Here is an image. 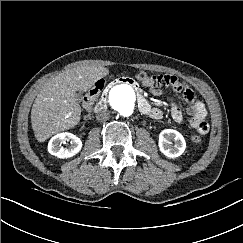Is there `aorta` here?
<instances>
[{
    "mask_svg": "<svg viewBox=\"0 0 243 243\" xmlns=\"http://www.w3.org/2000/svg\"><path fill=\"white\" fill-rule=\"evenodd\" d=\"M110 106L123 116H130L135 108V91L127 84L115 85L108 93Z\"/></svg>",
    "mask_w": 243,
    "mask_h": 243,
    "instance_id": "762f6f07",
    "label": "aorta"
}]
</instances>
